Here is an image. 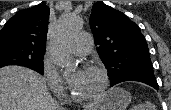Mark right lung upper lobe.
<instances>
[{
    "label": "right lung upper lobe",
    "instance_id": "cb5924a9",
    "mask_svg": "<svg viewBox=\"0 0 171 110\" xmlns=\"http://www.w3.org/2000/svg\"><path fill=\"white\" fill-rule=\"evenodd\" d=\"M49 13L50 9L45 4L17 12L0 31V43L10 42L45 51Z\"/></svg>",
    "mask_w": 171,
    "mask_h": 110
}]
</instances>
